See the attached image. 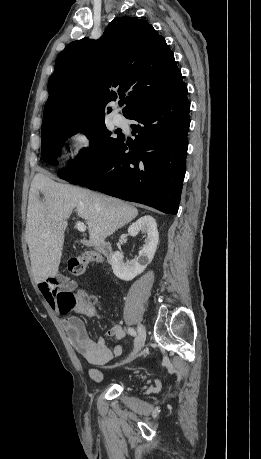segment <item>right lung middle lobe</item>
<instances>
[{
  "label": "right lung middle lobe",
  "instance_id": "1",
  "mask_svg": "<svg viewBox=\"0 0 261 459\" xmlns=\"http://www.w3.org/2000/svg\"><path fill=\"white\" fill-rule=\"evenodd\" d=\"M79 131H83L91 141L90 148L77 155L67 167L59 170L58 176L69 182L88 174L101 165L123 137L121 134H118L117 138L111 137V132L107 130L104 120L54 126L41 132L43 160L52 165H58L57 157L60 155L63 143Z\"/></svg>",
  "mask_w": 261,
  "mask_h": 459
}]
</instances>
